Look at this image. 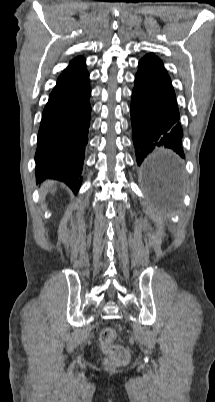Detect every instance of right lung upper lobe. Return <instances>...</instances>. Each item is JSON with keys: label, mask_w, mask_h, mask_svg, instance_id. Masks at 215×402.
I'll use <instances>...</instances> for the list:
<instances>
[{"label": "right lung upper lobe", "mask_w": 215, "mask_h": 402, "mask_svg": "<svg viewBox=\"0 0 215 402\" xmlns=\"http://www.w3.org/2000/svg\"><path fill=\"white\" fill-rule=\"evenodd\" d=\"M88 75L85 59L82 56L74 58L58 77L57 84L51 94H56L76 86Z\"/></svg>", "instance_id": "obj_1"}]
</instances>
